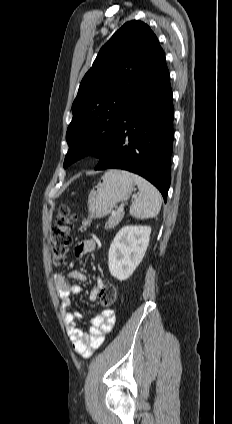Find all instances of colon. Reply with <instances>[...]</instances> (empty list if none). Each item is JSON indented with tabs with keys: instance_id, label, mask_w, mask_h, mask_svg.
Segmentation results:
<instances>
[{
	"instance_id": "1",
	"label": "colon",
	"mask_w": 232,
	"mask_h": 424,
	"mask_svg": "<svg viewBox=\"0 0 232 424\" xmlns=\"http://www.w3.org/2000/svg\"><path fill=\"white\" fill-rule=\"evenodd\" d=\"M75 215L71 209L63 205L58 211L55 223L50 229V253L55 266L64 263L72 241ZM98 300L101 306L111 307L117 300V288L112 283H105L99 290Z\"/></svg>"
}]
</instances>
